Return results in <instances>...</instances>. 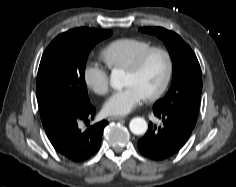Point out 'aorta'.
<instances>
[{"mask_svg": "<svg viewBox=\"0 0 236 187\" xmlns=\"http://www.w3.org/2000/svg\"><path fill=\"white\" fill-rule=\"evenodd\" d=\"M110 84L116 90H121L125 85V72L121 69H114L110 75ZM130 131L135 135L144 134L148 125L144 118L135 117L129 123Z\"/></svg>", "mask_w": 236, "mask_h": 187, "instance_id": "aorta-1", "label": "aorta"}]
</instances>
